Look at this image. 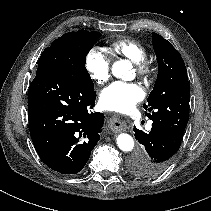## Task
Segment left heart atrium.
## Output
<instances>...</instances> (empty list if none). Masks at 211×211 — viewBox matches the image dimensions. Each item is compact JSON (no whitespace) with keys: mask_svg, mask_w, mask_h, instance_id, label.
<instances>
[{"mask_svg":"<svg viewBox=\"0 0 211 211\" xmlns=\"http://www.w3.org/2000/svg\"><path fill=\"white\" fill-rule=\"evenodd\" d=\"M144 98V90L136 83L114 82L100 94L101 106L109 111L126 113Z\"/></svg>","mask_w":211,"mask_h":211,"instance_id":"left-heart-atrium-1","label":"left heart atrium"}]
</instances>
